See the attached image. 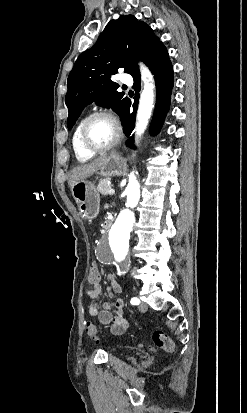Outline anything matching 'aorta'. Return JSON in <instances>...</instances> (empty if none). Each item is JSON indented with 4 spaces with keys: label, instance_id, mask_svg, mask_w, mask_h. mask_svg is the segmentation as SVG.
Instances as JSON below:
<instances>
[{
    "label": "aorta",
    "instance_id": "obj_1",
    "mask_svg": "<svg viewBox=\"0 0 247 413\" xmlns=\"http://www.w3.org/2000/svg\"><path fill=\"white\" fill-rule=\"evenodd\" d=\"M139 65L141 80L143 81L144 86L140 95L136 117L135 135L137 139L144 133L151 117L155 89L153 75L150 70L143 63H140ZM135 174H137V172L134 170L129 174V182L126 187V208L118 215L109 235L110 241H112V244L114 245L112 246V249L117 261L125 259L127 255L130 231L135 222V216L131 209L136 207L140 199V184Z\"/></svg>",
    "mask_w": 247,
    "mask_h": 413
}]
</instances>
